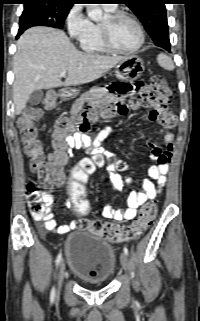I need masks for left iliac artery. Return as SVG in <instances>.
Listing matches in <instances>:
<instances>
[{
  "mask_svg": "<svg viewBox=\"0 0 200 321\" xmlns=\"http://www.w3.org/2000/svg\"><path fill=\"white\" fill-rule=\"evenodd\" d=\"M123 251H124V253H125L126 255H128L129 251H128V248H127V247H124Z\"/></svg>",
  "mask_w": 200,
  "mask_h": 321,
  "instance_id": "left-iliac-artery-1",
  "label": "left iliac artery"
}]
</instances>
